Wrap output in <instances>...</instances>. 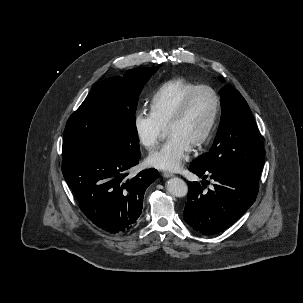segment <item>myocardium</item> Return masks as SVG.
Wrapping results in <instances>:
<instances>
[{
	"label": "myocardium",
	"instance_id": "1",
	"mask_svg": "<svg viewBox=\"0 0 303 303\" xmlns=\"http://www.w3.org/2000/svg\"><path fill=\"white\" fill-rule=\"evenodd\" d=\"M202 90H207L213 95L214 100H215V107H214L213 115L211 117V120H210L206 130L204 131L202 136L197 140V142L193 145L194 148H196V149H200L208 141V139L210 138L211 134L213 133V131L216 127V124H217L219 116H220L221 98H220V95L218 94V92L213 87H211L209 85H197L196 87L191 89L184 96V98L180 102L179 106L177 107V109L175 110V112L170 117V119L167 123V128H168L170 125L181 120L184 117V115L186 114L193 97L199 91H202Z\"/></svg>",
	"mask_w": 303,
	"mask_h": 303
}]
</instances>
